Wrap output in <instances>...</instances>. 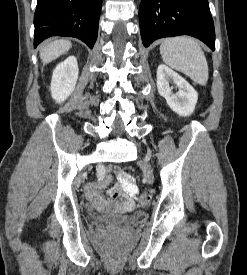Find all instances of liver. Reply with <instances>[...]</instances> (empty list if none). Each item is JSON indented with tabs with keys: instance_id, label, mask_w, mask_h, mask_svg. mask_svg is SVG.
<instances>
[{
	"instance_id": "liver-1",
	"label": "liver",
	"mask_w": 247,
	"mask_h": 275,
	"mask_svg": "<svg viewBox=\"0 0 247 275\" xmlns=\"http://www.w3.org/2000/svg\"><path fill=\"white\" fill-rule=\"evenodd\" d=\"M72 47L69 40L58 39L44 45L40 50V58L43 64H48L65 54Z\"/></svg>"
}]
</instances>
